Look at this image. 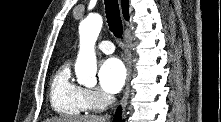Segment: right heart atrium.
Masks as SVG:
<instances>
[{
    "label": "right heart atrium",
    "instance_id": "obj_1",
    "mask_svg": "<svg viewBox=\"0 0 221 122\" xmlns=\"http://www.w3.org/2000/svg\"><path fill=\"white\" fill-rule=\"evenodd\" d=\"M84 99L88 109L99 110L106 107L111 99L96 89H84Z\"/></svg>",
    "mask_w": 221,
    "mask_h": 122
}]
</instances>
